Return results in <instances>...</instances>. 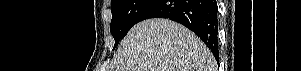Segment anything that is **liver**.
I'll return each instance as SVG.
<instances>
[{
    "instance_id": "1",
    "label": "liver",
    "mask_w": 301,
    "mask_h": 71,
    "mask_svg": "<svg viewBox=\"0 0 301 71\" xmlns=\"http://www.w3.org/2000/svg\"><path fill=\"white\" fill-rule=\"evenodd\" d=\"M110 71H216V62L207 46L189 29L155 18L131 28Z\"/></svg>"
}]
</instances>
